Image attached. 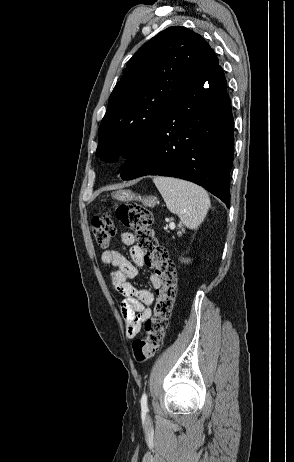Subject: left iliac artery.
I'll list each match as a JSON object with an SVG mask.
<instances>
[{
    "mask_svg": "<svg viewBox=\"0 0 294 462\" xmlns=\"http://www.w3.org/2000/svg\"><path fill=\"white\" fill-rule=\"evenodd\" d=\"M141 408L143 411H148L147 394L144 392L141 397Z\"/></svg>",
    "mask_w": 294,
    "mask_h": 462,
    "instance_id": "44dca946",
    "label": "left iliac artery"
}]
</instances>
